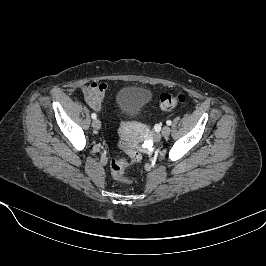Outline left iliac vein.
<instances>
[{
    "mask_svg": "<svg viewBox=\"0 0 266 266\" xmlns=\"http://www.w3.org/2000/svg\"><path fill=\"white\" fill-rule=\"evenodd\" d=\"M170 132H171V129H170V127L169 126H164L163 128H162V136L163 137H168L169 136V134H170Z\"/></svg>",
    "mask_w": 266,
    "mask_h": 266,
    "instance_id": "4c4485c4",
    "label": "left iliac vein"
}]
</instances>
